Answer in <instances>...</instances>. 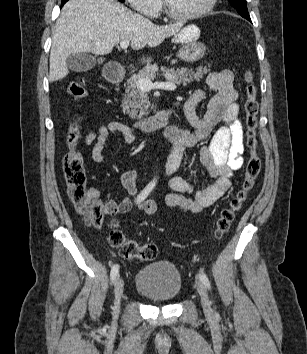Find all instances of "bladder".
<instances>
[{"mask_svg": "<svg viewBox=\"0 0 307 354\" xmlns=\"http://www.w3.org/2000/svg\"><path fill=\"white\" fill-rule=\"evenodd\" d=\"M140 294L156 303H168L179 295L182 277L177 267L168 261H158L141 268L135 278Z\"/></svg>", "mask_w": 307, "mask_h": 354, "instance_id": "obj_1", "label": "bladder"}]
</instances>
